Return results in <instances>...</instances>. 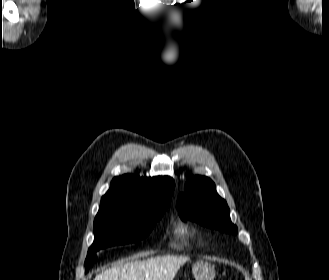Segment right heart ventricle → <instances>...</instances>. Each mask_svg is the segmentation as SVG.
<instances>
[{
  "mask_svg": "<svg viewBox=\"0 0 329 280\" xmlns=\"http://www.w3.org/2000/svg\"><path fill=\"white\" fill-rule=\"evenodd\" d=\"M175 232L179 237H184V236H187L189 234V231H188L187 227L183 224L177 225L176 229H175Z\"/></svg>",
  "mask_w": 329,
  "mask_h": 280,
  "instance_id": "right-heart-ventricle-1",
  "label": "right heart ventricle"
}]
</instances>
